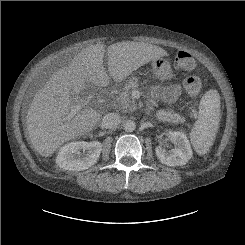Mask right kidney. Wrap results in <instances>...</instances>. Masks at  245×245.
Listing matches in <instances>:
<instances>
[{
  "label": "right kidney",
  "mask_w": 245,
  "mask_h": 245,
  "mask_svg": "<svg viewBox=\"0 0 245 245\" xmlns=\"http://www.w3.org/2000/svg\"><path fill=\"white\" fill-rule=\"evenodd\" d=\"M101 150L102 144L98 141L71 142L60 148L56 163L65 170H86L97 162Z\"/></svg>",
  "instance_id": "ca27d5eb"
}]
</instances>
